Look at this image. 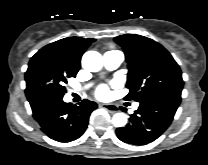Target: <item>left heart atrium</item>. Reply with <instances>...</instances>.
<instances>
[{
	"instance_id": "obj_1",
	"label": "left heart atrium",
	"mask_w": 208,
	"mask_h": 165,
	"mask_svg": "<svg viewBox=\"0 0 208 165\" xmlns=\"http://www.w3.org/2000/svg\"><path fill=\"white\" fill-rule=\"evenodd\" d=\"M96 96L100 99H105L109 96V90L106 85H101L96 90Z\"/></svg>"
}]
</instances>
